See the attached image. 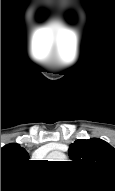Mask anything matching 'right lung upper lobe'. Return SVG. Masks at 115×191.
Listing matches in <instances>:
<instances>
[{
	"mask_svg": "<svg viewBox=\"0 0 115 191\" xmlns=\"http://www.w3.org/2000/svg\"><path fill=\"white\" fill-rule=\"evenodd\" d=\"M29 155L27 151L18 144H8L1 148V172L9 169H19L26 165Z\"/></svg>",
	"mask_w": 115,
	"mask_h": 191,
	"instance_id": "right-lung-upper-lobe-1",
	"label": "right lung upper lobe"
}]
</instances>
